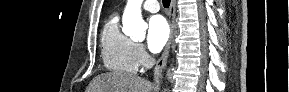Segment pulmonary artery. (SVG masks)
<instances>
[{
  "label": "pulmonary artery",
  "mask_w": 289,
  "mask_h": 92,
  "mask_svg": "<svg viewBox=\"0 0 289 92\" xmlns=\"http://www.w3.org/2000/svg\"><path fill=\"white\" fill-rule=\"evenodd\" d=\"M143 9L155 13L159 11V3L157 0H146L143 3Z\"/></svg>",
  "instance_id": "pulmonary-artery-1"
}]
</instances>
